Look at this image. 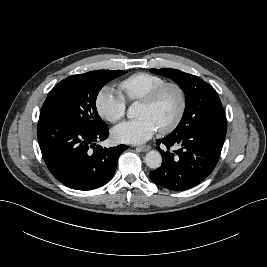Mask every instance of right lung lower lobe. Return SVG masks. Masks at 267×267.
Listing matches in <instances>:
<instances>
[{"mask_svg": "<svg viewBox=\"0 0 267 267\" xmlns=\"http://www.w3.org/2000/svg\"><path fill=\"white\" fill-rule=\"evenodd\" d=\"M108 134V127L91 131L48 112H41L37 129L49 171L59 182L77 190L99 188L113 177L118 158L128 146L95 147V142L107 139Z\"/></svg>", "mask_w": 267, "mask_h": 267, "instance_id": "obj_1", "label": "right lung lower lobe"}]
</instances>
